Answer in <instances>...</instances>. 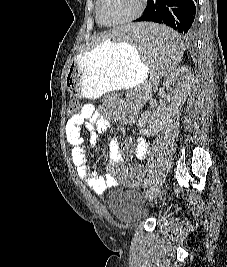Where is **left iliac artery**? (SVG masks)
I'll use <instances>...</instances> for the list:
<instances>
[{
	"label": "left iliac artery",
	"mask_w": 227,
	"mask_h": 267,
	"mask_svg": "<svg viewBox=\"0 0 227 267\" xmlns=\"http://www.w3.org/2000/svg\"><path fill=\"white\" fill-rule=\"evenodd\" d=\"M147 187V182L145 183V185H144V188H146Z\"/></svg>",
	"instance_id": "1"
}]
</instances>
